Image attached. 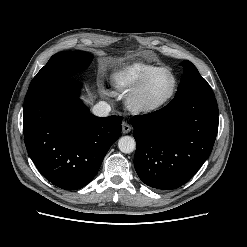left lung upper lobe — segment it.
<instances>
[{"mask_svg":"<svg viewBox=\"0 0 247 247\" xmlns=\"http://www.w3.org/2000/svg\"><path fill=\"white\" fill-rule=\"evenodd\" d=\"M180 65L183 66L184 73L181 77L176 95L191 90L212 91L207 81L199 74L197 68L190 61L185 60Z\"/></svg>","mask_w":247,"mask_h":247,"instance_id":"left-lung-upper-lobe-1","label":"left lung upper lobe"}]
</instances>
